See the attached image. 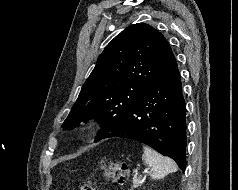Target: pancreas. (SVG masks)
<instances>
[{"mask_svg":"<svg viewBox=\"0 0 238 190\" xmlns=\"http://www.w3.org/2000/svg\"><path fill=\"white\" fill-rule=\"evenodd\" d=\"M142 179L140 178V177H138V178H134L133 179V185H132V187H131V190H133V188H138V187H140L141 186V184H142Z\"/></svg>","mask_w":238,"mask_h":190,"instance_id":"pancreas-1","label":"pancreas"}]
</instances>
